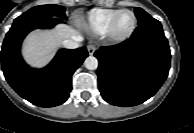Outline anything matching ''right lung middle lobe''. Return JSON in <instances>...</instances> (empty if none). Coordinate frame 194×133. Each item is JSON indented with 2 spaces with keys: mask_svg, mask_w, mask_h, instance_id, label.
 Returning a JSON list of instances; mask_svg holds the SVG:
<instances>
[{
  "mask_svg": "<svg viewBox=\"0 0 194 133\" xmlns=\"http://www.w3.org/2000/svg\"><path fill=\"white\" fill-rule=\"evenodd\" d=\"M48 18H60L63 20L67 19L65 15V8L58 5L36 6L17 17L14 20V23L21 20H36Z\"/></svg>",
  "mask_w": 194,
  "mask_h": 133,
  "instance_id": "1",
  "label": "right lung middle lobe"
}]
</instances>
